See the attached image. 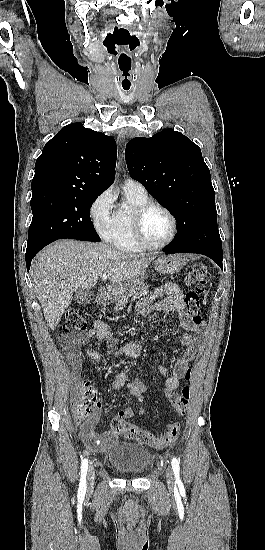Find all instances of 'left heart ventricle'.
I'll use <instances>...</instances> for the list:
<instances>
[{"instance_id":"b2bd125f","label":"left heart ventricle","mask_w":265,"mask_h":550,"mask_svg":"<svg viewBox=\"0 0 265 550\" xmlns=\"http://www.w3.org/2000/svg\"><path fill=\"white\" fill-rule=\"evenodd\" d=\"M171 221L160 209L150 210L143 220V234L146 240L153 244L164 242L170 235Z\"/></svg>"}]
</instances>
